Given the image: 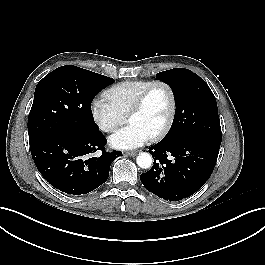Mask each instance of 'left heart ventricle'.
<instances>
[{"label": "left heart ventricle", "mask_w": 265, "mask_h": 265, "mask_svg": "<svg viewBox=\"0 0 265 265\" xmlns=\"http://www.w3.org/2000/svg\"><path fill=\"white\" fill-rule=\"evenodd\" d=\"M170 109V98L167 91L155 87L148 95L143 108L129 119V124H135L153 136L165 123Z\"/></svg>", "instance_id": "b2bd125f"}]
</instances>
